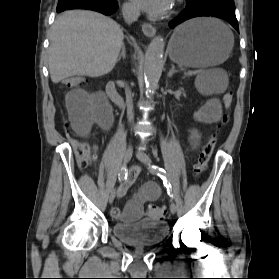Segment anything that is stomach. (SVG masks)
Masks as SVG:
<instances>
[{
    "label": "stomach",
    "mask_w": 279,
    "mask_h": 279,
    "mask_svg": "<svg viewBox=\"0 0 279 279\" xmlns=\"http://www.w3.org/2000/svg\"><path fill=\"white\" fill-rule=\"evenodd\" d=\"M234 37L220 22L210 18L190 20L170 39V59L181 66L206 68L223 63L230 55Z\"/></svg>",
    "instance_id": "1"
}]
</instances>
